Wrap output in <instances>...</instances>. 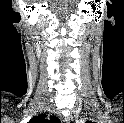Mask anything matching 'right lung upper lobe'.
<instances>
[{
  "mask_svg": "<svg viewBox=\"0 0 124 123\" xmlns=\"http://www.w3.org/2000/svg\"><path fill=\"white\" fill-rule=\"evenodd\" d=\"M46 115L33 117L28 123H58L59 119L55 116H50V121L45 119Z\"/></svg>",
  "mask_w": 124,
  "mask_h": 123,
  "instance_id": "cb5924a9",
  "label": "right lung upper lobe"
}]
</instances>
